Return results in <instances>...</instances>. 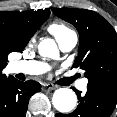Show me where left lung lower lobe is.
Segmentation results:
<instances>
[{
	"mask_svg": "<svg viewBox=\"0 0 117 117\" xmlns=\"http://www.w3.org/2000/svg\"><path fill=\"white\" fill-rule=\"evenodd\" d=\"M73 90L79 99L77 109L71 114L58 113L55 117H110L117 104V92L114 91L87 87V93L81 96L80 91Z\"/></svg>",
	"mask_w": 117,
	"mask_h": 117,
	"instance_id": "1",
	"label": "left lung lower lobe"
}]
</instances>
